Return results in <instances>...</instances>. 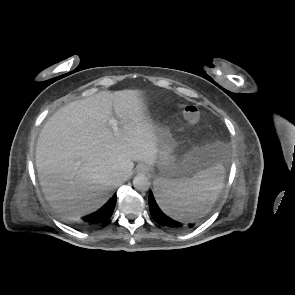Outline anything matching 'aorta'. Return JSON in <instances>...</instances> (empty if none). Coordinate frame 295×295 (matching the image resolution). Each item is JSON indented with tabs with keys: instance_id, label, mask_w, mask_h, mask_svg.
Returning a JSON list of instances; mask_svg holds the SVG:
<instances>
[{
	"instance_id": "aorta-1",
	"label": "aorta",
	"mask_w": 295,
	"mask_h": 295,
	"mask_svg": "<svg viewBox=\"0 0 295 295\" xmlns=\"http://www.w3.org/2000/svg\"><path fill=\"white\" fill-rule=\"evenodd\" d=\"M133 186L137 190L147 191L150 186V181L146 175L138 174L133 179Z\"/></svg>"
}]
</instances>
